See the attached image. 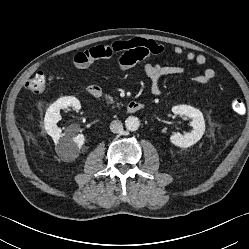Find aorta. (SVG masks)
Returning a JSON list of instances; mask_svg holds the SVG:
<instances>
[{
    "instance_id": "762f6f07",
    "label": "aorta",
    "mask_w": 249,
    "mask_h": 249,
    "mask_svg": "<svg viewBox=\"0 0 249 249\" xmlns=\"http://www.w3.org/2000/svg\"><path fill=\"white\" fill-rule=\"evenodd\" d=\"M140 126V121L137 117L130 116L125 120V127L128 131H136Z\"/></svg>"
}]
</instances>
